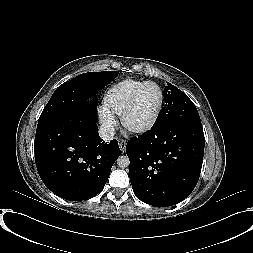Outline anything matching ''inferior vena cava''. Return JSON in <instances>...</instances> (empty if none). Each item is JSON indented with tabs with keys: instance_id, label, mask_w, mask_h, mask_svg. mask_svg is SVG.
I'll return each instance as SVG.
<instances>
[{
	"instance_id": "inferior-vena-cava-1",
	"label": "inferior vena cava",
	"mask_w": 253,
	"mask_h": 253,
	"mask_svg": "<svg viewBox=\"0 0 253 253\" xmlns=\"http://www.w3.org/2000/svg\"><path fill=\"white\" fill-rule=\"evenodd\" d=\"M115 128L113 126H101L99 128V136L103 141L109 142L114 138Z\"/></svg>"
}]
</instances>
